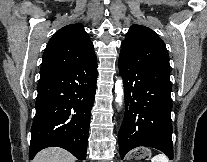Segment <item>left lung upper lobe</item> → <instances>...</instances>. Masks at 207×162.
I'll use <instances>...</instances> for the list:
<instances>
[{"mask_svg":"<svg viewBox=\"0 0 207 162\" xmlns=\"http://www.w3.org/2000/svg\"><path fill=\"white\" fill-rule=\"evenodd\" d=\"M119 59L170 75L169 55L164 42L153 30L142 25L130 27L122 42Z\"/></svg>","mask_w":207,"mask_h":162,"instance_id":"1","label":"left lung upper lobe"}]
</instances>
